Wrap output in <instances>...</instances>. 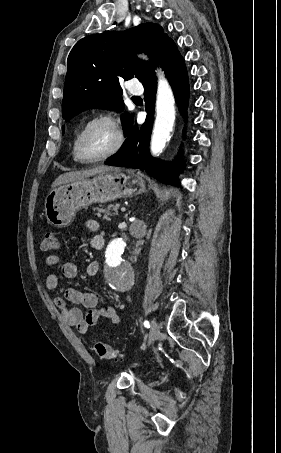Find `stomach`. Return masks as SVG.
<instances>
[{
    "label": "stomach",
    "mask_w": 281,
    "mask_h": 453,
    "mask_svg": "<svg viewBox=\"0 0 281 453\" xmlns=\"http://www.w3.org/2000/svg\"><path fill=\"white\" fill-rule=\"evenodd\" d=\"M145 190V180L131 168L100 172L93 178L70 180L52 188L45 198V214L56 229L69 227L77 210L92 202H108L121 196H135Z\"/></svg>",
    "instance_id": "1"
}]
</instances>
